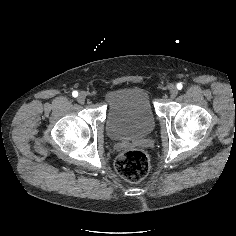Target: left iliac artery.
Instances as JSON below:
<instances>
[{"label": "left iliac artery", "instance_id": "44dca946", "mask_svg": "<svg viewBox=\"0 0 236 236\" xmlns=\"http://www.w3.org/2000/svg\"><path fill=\"white\" fill-rule=\"evenodd\" d=\"M176 86H177V89H178V90H181V89L183 88L182 83H178Z\"/></svg>", "mask_w": 236, "mask_h": 236}]
</instances>
